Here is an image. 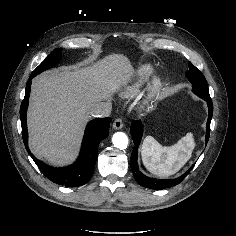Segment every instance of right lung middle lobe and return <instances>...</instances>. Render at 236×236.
<instances>
[{
    "label": "right lung middle lobe",
    "instance_id": "1",
    "mask_svg": "<svg viewBox=\"0 0 236 236\" xmlns=\"http://www.w3.org/2000/svg\"><path fill=\"white\" fill-rule=\"evenodd\" d=\"M61 49H55L31 74V77H35L37 74L44 70H47L55 66L60 60Z\"/></svg>",
    "mask_w": 236,
    "mask_h": 236
}]
</instances>
